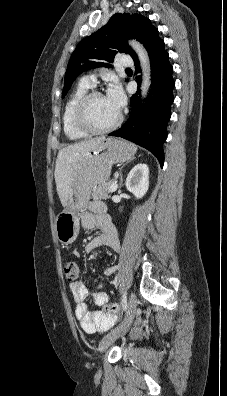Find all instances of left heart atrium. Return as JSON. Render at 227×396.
<instances>
[{"instance_id": "1", "label": "left heart atrium", "mask_w": 227, "mask_h": 396, "mask_svg": "<svg viewBox=\"0 0 227 396\" xmlns=\"http://www.w3.org/2000/svg\"><path fill=\"white\" fill-rule=\"evenodd\" d=\"M109 104L118 112L124 107L126 103V97L121 86L118 83H113L105 96Z\"/></svg>"}]
</instances>
